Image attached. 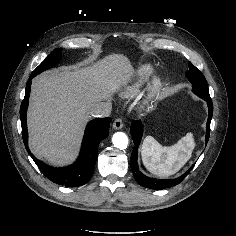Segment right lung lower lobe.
<instances>
[{"mask_svg":"<svg viewBox=\"0 0 236 236\" xmlns=\"http://www.w3.org/2000/svg\"><path fill=\"white\" fill-rule=\"evenodd\" d=\"M32 78L33 77L30 76L26 85L25 97L20 107L22 137L25 147L38 168L52 182L67 187H77L84 185L92 177L98 153V144L100 141L107 138L109 134V124L112 119L110 117L97 118L89 122L85 130L79 158L73 165L64 168H53L44 164L42 161L36 159L28 149L26 113Z\"/></svg>","mask_w":236,"mask_h":236,"instance_id":"98d812e1","label":"right lung lower lobe"}]
</instances>
